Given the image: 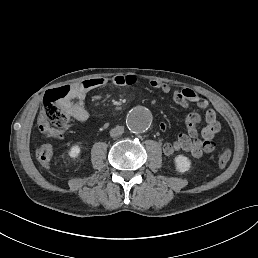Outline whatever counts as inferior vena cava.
<instances>
[{
  "label": "inferior vena cava",
  "instance_id": "inferior-vena-cava-1",
  "mask_svg": "<svg viewBox=\"0 0 258 258\" xmlns=\"http://www.w3.org/2000/svg\"><path fill=\"white\" fill-rule=\"evenodd\" d=\"M123 132H124V128L122 126H116L114 129L110 131V136L114 138L122 135Z\"/></svg>",
  "mask_w": 258,
  "mask_h": 258
}]
</instances>
